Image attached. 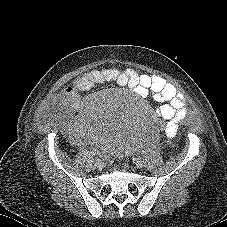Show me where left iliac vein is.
I'll use <instances>...</instances> for the list:
<instances>
[{"label": "left iliac vein", "instance_id": "1", "mask_svg": "<svg viewBox=\"0 0 227 227\" xmlns=\"http://www.w3.org/2000/svg\"><path fill=\"white\" fill-rule=\"evenodd\" d=\"M135 165L137 168H143L145 165V162L141 157H138L135 159Z\"/></svg>", "mask_w": 227, "mask_h": 227}]
</instances>
